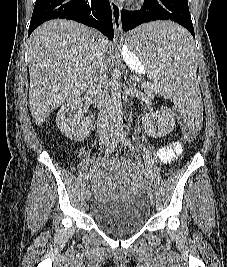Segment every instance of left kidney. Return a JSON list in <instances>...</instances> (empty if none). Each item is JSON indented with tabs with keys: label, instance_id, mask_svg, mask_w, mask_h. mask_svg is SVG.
<instances>
[{
	"label": "left kidney",
	"instance_id": "left-kidney-1",
	"mask_svg": "<svg viewBox=\"0 0 227 267\" xmlns=\"http://www.w3.org/2000/svg\"><path fill=\"white\" fill-rule=\"evenodd\" d=\"M143 124L150 136L162 137L172 132L175 119L171 109L164 106L154 113H147L143 117Z\"/></svg>",
	"mask_w": 227,
	"mask_h": 267
}]
</instances>
